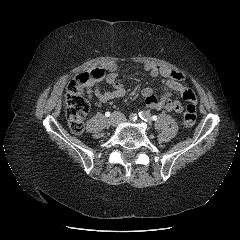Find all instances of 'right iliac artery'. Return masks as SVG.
<instances>
[{
	"label": "right iliac artery",
	"mask_w": 240,
	"mask_h": 240,
	"mask_svg": "<svg viewBox=\"0 0 240 240\" xmlns=\"http://www.w3.org/2000/svg\"><path fill=\"white\" fill-rule=\"evenodd\" d=\"M137 114L136 113H132V114H130V116H129V119L130 120H132V121H136L137 120Z\"/></svg>",
	"instance_id": "82829eb1"
}]
</instances>
